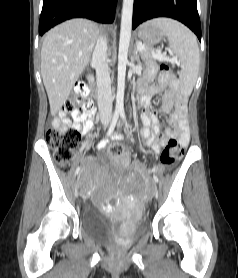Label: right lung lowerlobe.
<instances>
[{"mask_svg":"<svg viewBox=\"0 0 238 278\" xmlns=\"http://www.w3.org/2000/svg\"><path fill=\"white\" fill-rule=\"evenodd\" d=\"M116 3L117 0H43L39 34L42 36L53 26L71 18L112 23Z\"/></svg>","mask_w":238,"mask_h":278,"instance_id":"obj_1","label":"right lung lower lobe"}]
</instances>
